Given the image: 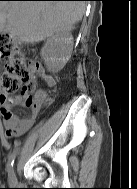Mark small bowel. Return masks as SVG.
Instances as JSON below:
<instances>
[{
    "label": "small bowel",
    "instance_id": "small-bowel-1",
    "mask_svg": "<svg viewBox=\"0 0 137 189\" xmlns=\"http://www.w3.org/2000/svg\"><path fill=\"white\" fill-rule=\"evenodd\" d=\"M33 70L34 74L32 77V81L34 85L36 84L37 79L41 78L47 86H55L56 79L54 78V76L45 73L42 66L38 65L34 67ZM33 97L36 101V105L33 108L26 105V96L24 95L0 103V113L3 119L6 135L8 137L18 138L28 132L35 123L41 108L52 102V98L47 94L44 89H35L33 92ZM14 106L28 108L30 109V113L26 116H20L18 114H15L12 111V108Z\"/></svg>",
    "mask_w": 137,
    "mask_h": 189
}]
</instances>
